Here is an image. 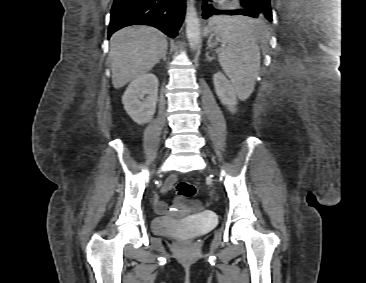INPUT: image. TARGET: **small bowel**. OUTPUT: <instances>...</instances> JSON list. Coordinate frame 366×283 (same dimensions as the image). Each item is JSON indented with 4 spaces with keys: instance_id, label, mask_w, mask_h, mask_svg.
Segmentation results:
<instances>
[{
    "instance_id": "obj_1",
    "label": "small bowel",
    "mask_w": 366,
    "mask_h": 283,
    "mask_svg": "<svg viewBox=\"0 0 366 283\" xmlns=\"http://www.w3.org/2000/svg\"><path fill=\"white\" fill-rule=\"evenodd\" d=\"M176 177L172 176L170 177L167 182L164 184L163 191L167 192L169 191L175 184ZM155 206L158 211L163 212L167 209V206L164 202L160 201L158 198L155 199Z\"/></svg>"
}]
</instances>
